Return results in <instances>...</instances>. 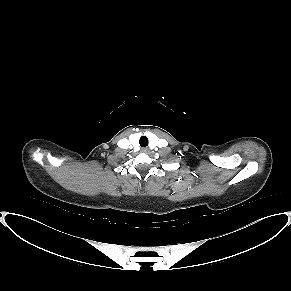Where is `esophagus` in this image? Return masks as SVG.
I'll use <instances>...</instances> for the list:
<instances>
[{
	"mask_svg": "<svg viewBox=\"0 0 291 291\" xmlns=\"http://www.w3.org/2000/svg\"><path fill=\"white\" fill-rule=\"evenodd\" d=\"M142 152L147 153L149 152V149L147 147L142 148Z\"/></svg>",
	"mask_w": 291,
	"mask_h": 291,
	"instance_id": "esophagus-1",
	"label": "esophagus"
}]
</instances>
